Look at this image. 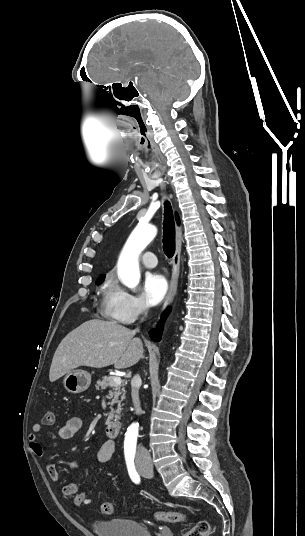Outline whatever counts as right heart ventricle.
Instances as JSON below:
<instances>
[{
  "instance_id": "right-heart-ventricle-1",
  "label": "right heart ventricle",
  "mask_w": 305,
  "mask_h": 536,
  "mask_svg": "<svg viewBox=\"0 0 305 536\" xmlns=\"http://www.w3.org/2000/svg\"><path fill=\"white\" fill-rule=\"evenodd\" d=\"M112 284L110 282L105 283V285L102 288V298L104 303H106L107 298L111 292Z\"/></svg>"
}]
</instances>
